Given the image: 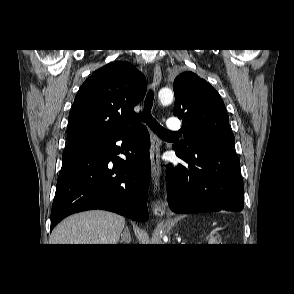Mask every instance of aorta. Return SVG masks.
Segmentation results:
<instances>
[{
	"mask_svg": "<svg viewBox=\"0 0 294 294\" xmlns=\"http://www.w3.org/2000/svg\"><path fill=\"white\" fill-rule=\"evenodd\" d=\"M158 98L162 105H170L173 102L174 94L171 89L162 88L158 93Z\"/></svg>",
	"mask_w": 294,
	"mask_h": 294,
	"instance_id": "762f6f07",
	"label": "aorta"
}]
</instances>
